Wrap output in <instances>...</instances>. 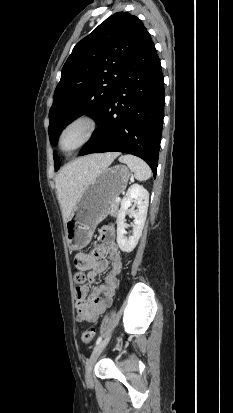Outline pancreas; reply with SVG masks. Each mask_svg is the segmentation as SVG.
Returning <instances> with one entry per match:
<instances>
[{
	"label": "pancreas",
	"instance_id": "pancreas-1",
	"mask_svg": "<svg viewBox=\"0 0 233 413\" xmlns=\"http://www.w3.org/2000/svg\"><path fill=\"white\" fill-rule=\"evenodd\" d=\"M118 208H119V202H116L115 200L111 201L110 207H109L110 215L116 216Z\"/></svg>",
	"mask_w": 233,
	"mask_h": 413
}]
</instances>
